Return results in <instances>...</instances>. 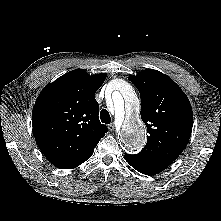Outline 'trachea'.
<instances>
[{"instance_id":"3493384b","label":"trachea","mask_w":221,"mask_h":221,"mask_svg":"<svg viewBox=\"0 0 221 221\" xmlns=\"http://www.w3.org/2000/svg\"><path fill=\"white\" fill-rule=\"evenodd\" d=\"M100 119L103 123L105 124H109L111 122V117H110V114L107 110L103 109L101 112H100Z\"/></svg>"}]
</instances>
